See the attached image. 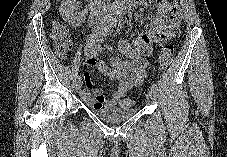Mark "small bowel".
Wrapping results in <instances>:
<instances>
[{"instance_id": "1", "label": "small bowel", "mask_w": 227, "mask_h": 157, "mask_svg": "<svg viewBox=\"0 0 227 157\" xmlns=\"http://www.w3.org/2000/svg\"><path fill=\"white\" fill-rule=\"evenodd\" d=\"M151 0H138L137 6H149ZM172 6L168 0H160L156 14L152 19L150 29L142 33L133 44L127 41L119 43L120 52L128 59L112 58L110 66L98 58V54L106 49L101 32L88 37L84 48L85 66L97 67L106 77L117 81L118 87L110 98H105L102 91L94 87L89 73L85 74L86 87L81 92V98L90 107L103 108L120 104L127 92L142 85L148 69L145 59L152 51V44L164 39V28Z\"/></svg>"}]
</instances>
